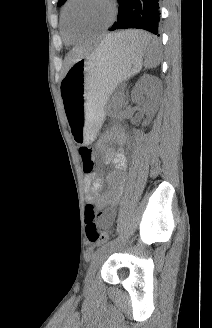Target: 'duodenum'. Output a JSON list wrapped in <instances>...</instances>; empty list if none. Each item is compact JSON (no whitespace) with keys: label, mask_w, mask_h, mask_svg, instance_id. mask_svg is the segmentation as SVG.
Wrapping results in <instances>:
<instances>
[{"label":"duodenum","mask_w":212,"mask_h":328,"mask_svg":"<svg viewBox=\"0 0 212 328\" xmlns=\"http://www.w3.org/2000/svg\"><path fill=\"white\" fill-rule=\"evenodd\" d=\"M116 136H117V137H120V133H117Z\"/></svg>","instance_id":"1"}]
</instances>
